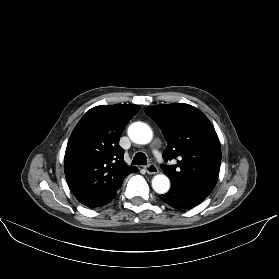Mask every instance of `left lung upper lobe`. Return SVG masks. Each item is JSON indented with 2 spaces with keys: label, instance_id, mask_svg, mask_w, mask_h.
<instances>
[{
  "label": "left lung upper lobe",
  "instance_id": "1",
  "mask_svg": "<svg viewBox=\"0 0 279 279\" xmlns=\"http://www.w3.org/2000/svg\"><path fill=\"white\" fill-rule=\"evenodd\" d=\"M144 111L167 141L164 159L177 160L175 165L162 166L171 186L207 197L216 185L221 165L220 142L211 122L188 104H162Z\"/></svg>",
  "mask_w": 279,
  "mask_h": 279
}]
</instances>
